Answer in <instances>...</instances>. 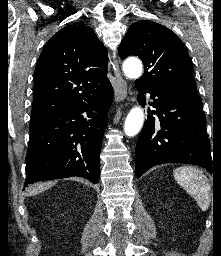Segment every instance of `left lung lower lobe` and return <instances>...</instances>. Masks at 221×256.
I'll return each instance as SVG.
<instances>
[{"instance_id": "obj_1", "label": "left lung lower lobe", "mask_w": 221, "mask_h": 256, "mask_svg": "<svg viewBox=\"0 0 221 256\" xmlns=\"http://www.w3.org/2000/svg\"><path fill=\"white\" fill-rule=\"evenodd\" d=\"M140 93H150L156 110L148 115L138 137L135 173L139 178L161 163L196 164L213 171L210 142L206 135V118L197 95L153 90L136 84ZM143 106L145 96L138 94ZM156 114L158 118L153 117Z\"/></svg>"}]
</instances>
